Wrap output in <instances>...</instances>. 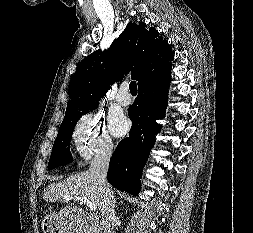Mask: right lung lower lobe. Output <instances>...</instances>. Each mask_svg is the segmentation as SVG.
Returning a JSON list of instances; mask_svg holds the SVG:
<instances>
[{
	"mask_svg": "<svg viewBox=\"0 0 253 233\" xmlns=\"http://www.w3.org/2000/svg\"><path fill=\"white\" fill-rule=\"evenodd\" d=\"M170 73L171 68L138 87V97L128 111L132 120L129 137L118 144L110 159L108 182L134 196L139 194L142 170L161 128L156 120L165 115Z\"/></svg>",
	"mask_w": 253,
	"mask_h": 233,
	"instance_id": "1",
	"label": "right lung lower lobe"
}]
</instances>
